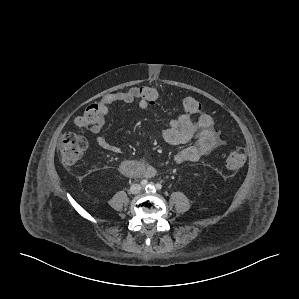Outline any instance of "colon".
<instances>
[{"mask_svg":"<svg viewBox=\"0 0 299 299\" xmlns=\"http://www.w3.org/2000/svg\"><path fill=\"white\" fill-rule=\"evenodd\" d=\"M141 96L145 101L153 106L159 99V90L155 86H143L139 88ZM182 113L188 117L198 114L201 110L199 102L193 97H186L181 103ZM101 117V108L99 104L89 105L82 115L76 118L77 126L87 128L94 125ZM87 149L86 139L75 133H66L60 142L61 160L66 165L77 162L85 154ZM246 162V155L242 149L233 150L226 158V166L229 169H239Z\"/></svg>","mask_w":299,"mask_h":299,"instance_id":"obj_1","label":"colon"}]
</instances>
